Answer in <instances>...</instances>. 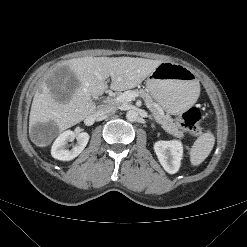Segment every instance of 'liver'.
<instances>
[{
    "mask_svg": "<svg viewBox=\"0 0 247 247\" xmlns=\"http://www.w3.org/2000/svg\"><path fill=\"white\" fill-rule=\"evenodd\" d=\"M160 63L162 62L159 60L138 57H82L67 60L51 70L47 77L57 68L68 67L76 76L78 86L69 100L60 102L53 97L44 80L32 101L29 127L32 129L37 123L53 122L58 131L62 132L96 111V105L91 97L104 93L109 77L111 78L110 89L114 91L132 89ZM33 142L39 147L46 145L35 140Z\"/></svg>",
    "mask_w": 247,
    "mask_h": 247,
    "instance_id": "liver-1",
    "label": "liver"
}]
</instances>
